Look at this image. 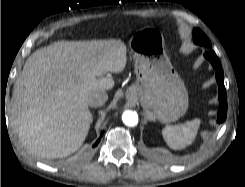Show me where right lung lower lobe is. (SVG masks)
Here are the masks:
<instances>
[{
	"label": "right lung lower lobe",
	"instance_id": "right-lung-lower-lobe-1",
	"mask_svg": "<svg viewBox=\"0 0 245 187\" xmlns=\"http://www.w3.org/2000/svg\"><path fill=\"white\" fill-rule=\"evenodd\" d=\"M102 134H103V133H102ZM102 134H101V136H102ZM99 141H100V138H99L98 141L94 144V147L97 146V144L99 143Z\"/></svg>",
	"mask_w": 245,
	"mask_h": 187
}]
</instances>
